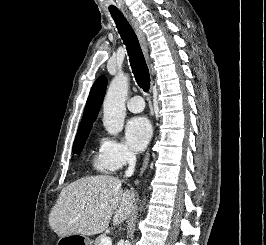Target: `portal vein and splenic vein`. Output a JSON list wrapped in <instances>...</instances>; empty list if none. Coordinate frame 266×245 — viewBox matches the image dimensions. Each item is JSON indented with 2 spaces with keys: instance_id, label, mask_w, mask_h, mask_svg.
<instances>
[{
  "instance_id": "portal-vein-and-splenic-vein-1",
  "label": "portal vein and splenic vein",
  "mask_w": 266,
  "mask_h": 245,
  "mask_svg": "<svg viewBox=\"0 0 266 245\" xmlns=\"http://www.w3.org/2000/svg\"><path fill=\"white\" fill-rule=\"evenodd\" d=\"M102 209H105L104 205H101ZM100 245H112L111 237H102Z\"/></svg>"
}]
</instances>
